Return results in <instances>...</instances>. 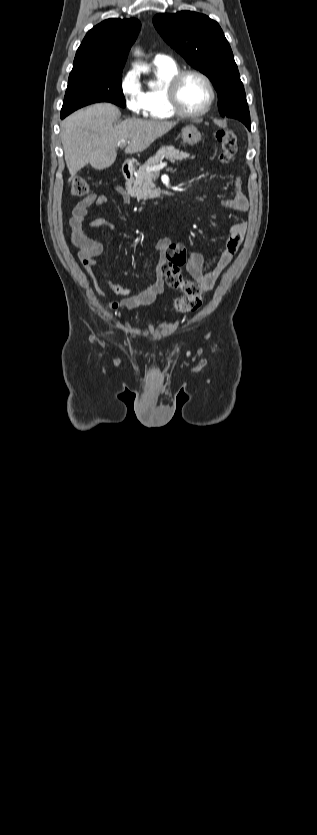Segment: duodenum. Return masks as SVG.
Segmentation results:
<instances>
[{"instance_id": "obj_1", "label": "duodenum", "mask_w": 317, "mask_h": 835, "mask_svg": "<svg viewBox=\"0 0 317 835\" xmlns=\"http://www.w3.org/2000/svg\"><path fill=\"white\" fill-rule=\"evenodd\" d=\"M135 171V166L132 162H126L122 167V174L125 179H130Z\"/></svg>"}]
</instances>
